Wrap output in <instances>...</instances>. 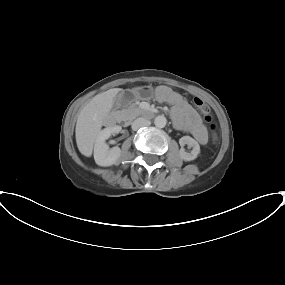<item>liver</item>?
<instances>
[{
  "label": "liver",
  "mask_w": 285,
  "mask_h": 285,
  "mask_svg": "<svg viewBox=\"0 0 285 285\" xmlns=\"http://www.w3.org/2000/svg\"><path fill=\"white\" fill-rule=\"evenodd\" d=\"M118 91L119 89L113 88L97 94L80 111L75 136L77 147L84 156L92 155L93 145L113 107L114 97Z\"/></svg>",
  "instance_id": "liver-1"
}]
</instances>
